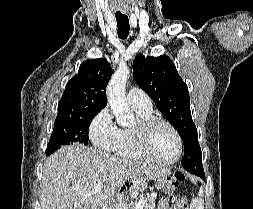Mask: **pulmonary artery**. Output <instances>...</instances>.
I'll list each match as a JSON object with an SVG mask.
<instances>
[{"label":"pulmonary artery","instance_id":"obj_1","mask_svg":"<svg viewBox=\"0 0 253 209\" xmlns=\"http://www.w3.org/2000/svg\"><path fill=\"white\" fill-rule=\"evenodd\" d=\"M127 99L131 104H136L144 107H151L150 97L141 89L133 87L127 93Z\"/></svg>","mask_w":253,"mask_h":209}]
</instances>
